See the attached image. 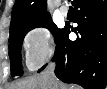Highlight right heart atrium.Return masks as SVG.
<instances>
[{
    "mask_svg": "<svg viewBox=\"0 0 107 89\" xmlns=\"http://www.w3.org/2000/svg\"><path fill=\"white\" fill-rule=\"evenodd\" d=\"M55 41L51 31L45 26L29 30L23 39L26 65L30 70L41 67L54 53Z\"/></svg>",
    "mask_w": 107,
    "mask_h": 89,
    "instance_id": "1",
    "label": "right heart atrium"
}]
</instances>
